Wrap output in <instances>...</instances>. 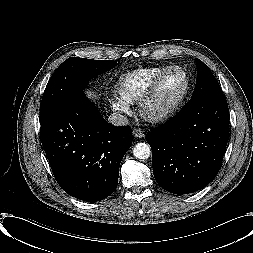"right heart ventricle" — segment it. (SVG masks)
Wrapping results in <instances>:
<instances>
[{
  "mask_svg": "<svg viewBox=\"0 0 253 253\" xmlns=\"http://www.w3.org/2000/svg\"><path fill=\"white\" fill-rule=\"evenodd\" d=\"M169 67L171 66L148 67L123 74L116 84L119 98L128 104L137 103L156 76Z\"/></svg>",
  "mask_w": 253,
  "mask_h": 253,
  "instance_id": "obj_1",
  "label": "right heart ventricle"
}]
</instances>
